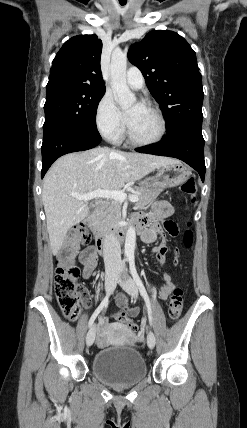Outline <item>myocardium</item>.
I'll use <instances>...</instances> for the list:
<instances>
[{"label":"myocardium","instance_id":"myocardium-1","mask_svg":"<svg viewBox=\"0 0 247 428\" xmlns=\"http://www.w3.org/2000/svg\"><path fill=\"white\" fill-rule=\"evenodd\" d=\"M141 105H144L147 108H149L151 111H153V113L156 115V117L159 120L160 130H159V132H158V134H157L156 137H154L152 139H149V140H141V139L136 138L132 134V132H131L129 126H128V123H127V125H126L127 137L129 139V141L132 144H134V145H138V146L155 145V144L161 142L164 139V137H165V135L167 133V121H166V118H165L164 114L162 113V111L160 110V108L157 107L156 105H154L153 103H151L149 101H143V102H141Z\"/></svg>","mask_w":247,"mask_h":428}]
</instances>
